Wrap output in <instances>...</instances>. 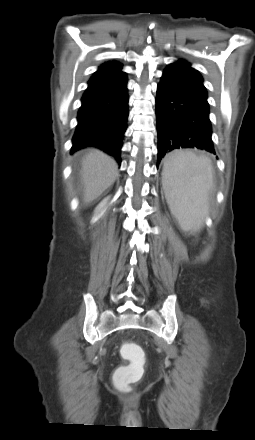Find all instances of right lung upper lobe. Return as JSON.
<instances>
[{
  "label": "right lung upper lobe",
  "instance_id": "obj_1",
  "mask_svg": "<svg viewBox=\"0 0 255 440\" xmlns=\"http://www.w3.org/2000/svg\"><path fill=\"white\" fill-rule=\"evenodd\" d=\"M119 66H121V64L116 61L105 62L99 67V69L93 74L91 78L105 74Z\"/></svg>",
  "mask_w": 255,
  "mask_h": 440
}]
</instances>
